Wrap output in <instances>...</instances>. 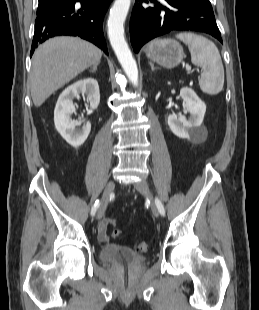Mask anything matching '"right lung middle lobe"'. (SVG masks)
Listing matches in <instances>:
<instances>
[{
	"mask_svg": "<svg viewBox=\"0 0 259 310\" xmlns=\"http://www.w3.org/2000/svg\"><path fill=\"white\" fill-rule=\"evenodd\" d=\"M65 0H39V7L47 6L52 3H57Z\"/></svg>",
	"mask_w": 259,
	"mask_h": 310,
	"instance_id": "right-lung-middle-lobe-1",
	"label": "right lung middle lobe"
}]
</instances>
